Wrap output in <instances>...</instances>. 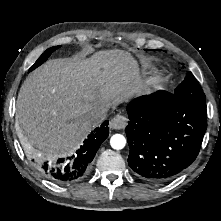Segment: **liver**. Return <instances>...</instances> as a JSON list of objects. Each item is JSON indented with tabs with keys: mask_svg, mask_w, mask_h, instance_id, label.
Here are the masks:
<instances>
[{
	"mask_svg": "<svg viewBox=\"0 0 221 221\" xmlns=\"http://www.w3.org/2000/svg\"><path fill=\"white\" fill-rule=\"evenodd\" d=\"M137 60L127 51H98L90 58L48 60L22 84L16 102L19 134L29 154L34 146L48 154L79 147L95 127L87 118L98 106L127 102L141 88Z\"/></svg>",
	"mask_w": 221,
	"mask_h": 221,
	"instance_id": "obj_1",
	"label": "liver"
}]
</instances>
